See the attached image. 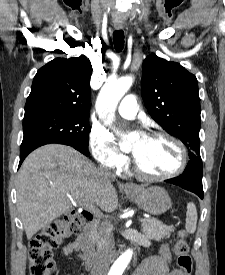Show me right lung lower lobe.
Segmentation results:
<instances>
[{
  "instance_id": "obj_1",
  "label": "right lung lower lobe",
  "mask_w": 225,
  "mask_h": 275,
  "mask_svg": "<svg viewBox=\"0 0 225 275\" xmlns=\"http://www.w3.org/2000/svg\"><path fill=\"white\" fill-rule=\"evenodd\" d=\"M49 143H59V144L69 145V146L75 148L76 150L80 151L84 155L89 156L88 149L82 148L80 146L74 145V144L66 142V141L49 140V139H31V140L23 141L22 144H21L19 166L21 165V163L23 162V160L26 158V156L31 151H33L34 149H36V148H38V147H40L42 145L49 144Z\"/></svg>"
}]
</instances>
